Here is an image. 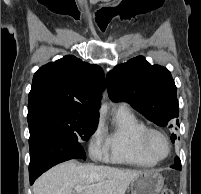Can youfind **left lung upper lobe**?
<instances>
[{
  "instance_id": "left-lung-upper-lobe-1",
  "label": "left lung upper lobe",
  "mask_w": 201,
  "mask_h": 194,
  "mask_svg": "<svg viewBox=\"0 0 201 194\" xmlns=\"http://www.w3.org/2000/svg\"><path fill=\"white\" fill-rule=\"evenodd\" d=\"M107 88L111 100L130 103L155 124L169 128L175 122L179 125L177 88L165 67L151 65L143 56L132 58L107 74Z\"/></svg>"
}]
</instances>
